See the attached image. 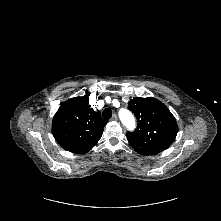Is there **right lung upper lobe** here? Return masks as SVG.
<instances>
[{"mask_svg":"<svg viewBox=\"0 0 221 221\" xmlns=\"http://www.w3.org/2000/svg\"><path fill=\"white\" fill-rule=\"evenodd\" d=\"M88 94L65 101L56 112L52 133L65 150L87 153L99 141L107 122L89 105Z\"/></svg>","mask_w":221,"mask_h":221,"instance_id":"1","label":"right lung upper lobe"}]
</instances>
